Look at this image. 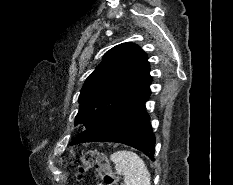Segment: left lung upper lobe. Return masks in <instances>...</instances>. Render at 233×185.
Listing matches in <instances>:
<instances>
[{
	"instance_id": "1",
	"label": "left lung upper lobe",
	"mask_w": 233,
	"mask_h": 185,
	"mask_svg": "<svg viewBox=\"0 0 233 185\" xmlns=\"http://www.w3.org/2000/svg\"><path fill=\"white\" fill-rule=\"evenodd\" d=\"M147 56L137 45L127 42L110 49L85 81L75 124L94 126L112 103L149 74Z\"/></svg>"
}]
</instances>
